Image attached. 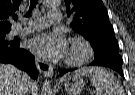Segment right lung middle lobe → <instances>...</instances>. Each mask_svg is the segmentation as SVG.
<instances>
[{
    "label": "right lung middle lobe",
    "mask_w": 135,
    "mask_h": 95,
    "mask_svg": "<svg viewBox=\"0 0 135 95\" xmlns=\"http://www.w3.org/2000/svg\"><path fill=\"white\" fill-rule=\"evenodd\" d=\"M10 30H1L0 31V42L6 41L5 34L8 33Z\"/></svg>",
    "instance_id": "1"
}]
</instances>
